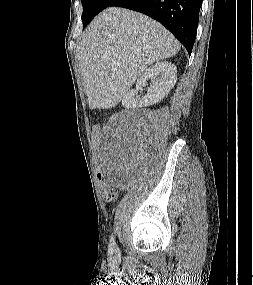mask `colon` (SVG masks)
Masks as SVG:
<instances>
[{
  "label": "colon",
  "mask_w": 253,
  "mask_h": 285,
  "mask_svg": "<svg viewBox=\"0 0 253 285\" xmlns=\"http://www.w3.org/2000/svg\"><path fill=\"white\" fill-rule=\"evenodd\" d=\"M92 134H93L92 144L94 147V150H92V158H94L93 176H97V180H100V187L103 198L106 201H111L116 197V190L110 183L108 175H103L104 164L102 163V159L99 158L101 151L104 150V144L101 143L103 137L101 136L100 126H93Z\"/></svg>",
  "instance_id": "5ec220e1"
}]
</instances>
